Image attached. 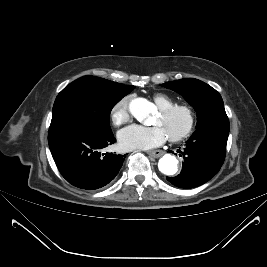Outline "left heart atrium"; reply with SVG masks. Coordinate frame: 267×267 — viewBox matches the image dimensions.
<instances>
[{"label":"left heart atrium","mask_w":267,"mask_h":267,"mask_svg":"<svg viewBox=\"0 0 267 267\" xmlns=\"http://www.w3.org/2000/svg\"><path fill=\"white\" fill-rule=\"evenodd\" d=\"M166 138L164 129L158 125L152 127L131 125L118 134L119 143L126 150L155 148L163 144Z\"/></svg>","instance_id":"1"}]
</instances>
